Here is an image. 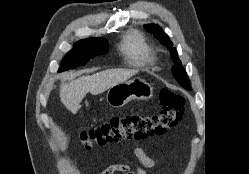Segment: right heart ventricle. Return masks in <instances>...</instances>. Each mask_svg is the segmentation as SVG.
Returning <instances> with one entry per match:
<instances>
[{"mask_svg": "<svg viewBox=\"0 0 249 174\" xmlns=\"http://www.w3.org/2000/svg\"><path fill=\"white\" fill-rule=\"evenodd\" d=\"M120 49L126 60L135 66H146L152 60L150 47L136 31H131L124 36Z\"/></svg>", "mask_w": 249, "mask_h": 174, "instance_id": "right-heart-ventricle-1", "label": "right heart ventricle"}]
</instances>
